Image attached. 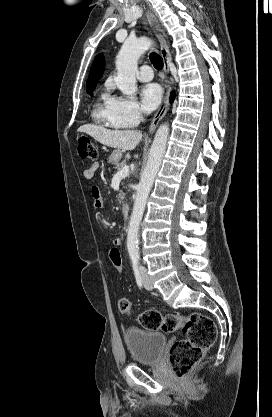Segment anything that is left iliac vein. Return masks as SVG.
Masks as SVG:
<instances>
[{"instance_id": "obj_1", "label": "left iliac vein", "mask_w": 272, "mask_h": 417, "mask_svg": "<svg viewBox=\"0 0 272 417\" xmlns=\"http://www.w3.org/2000/svg\"><path fill=\"white\" fill-rule=\"evenodd\" d=\"M142 276H143V281H144V287L147 290H152L153 289L152 283L149 281L147 274L144 271L142 272Z\"/></svg>"}]
</instances>
